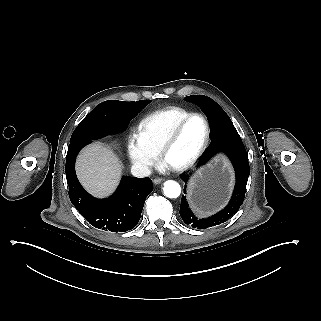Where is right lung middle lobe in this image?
I'll use <instances>...</instances> for the list:
<instances>
[{
	"label": "right lung middle lobe",
	"instance_id": "right-lung-middle-lobe-1",
	"mask_svg": "<svg viewBox=\"0 0 321 321\" xmlns=\"http://www.w3.org/2000/svg\"><path fill=\"white\" fill-rule=\"evenodd\" d=\"M150 100H140L137 102H132L133 104L139 106L143 109L146 105H148ZM97 107V106H96ZM108 130L106 125L100 119V117L96 114V108L92 110L77 126L75 131L73 132L70 143L83 139H99L108 134Z\"/></svg>",
	"mask_w": 321,
	"mask_h": 321
}]
</instances>
